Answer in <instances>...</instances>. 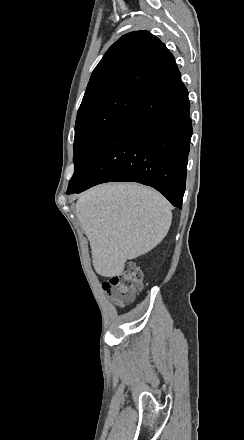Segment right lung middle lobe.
<instances>
[{"mask_svg": "<svg viewBox=\"0 0 244 440\" xmlns=\"http://www.w3.org/2000/svg\"><path fill=\"white\" fill-rule=\"evenodd\" d=\"M140 97L119 94L104 101L81 104L75 124L74 174L68 186L83 174L93 156Z\"/></svg>", "mask_w": 244, "mask_h": 440, "instance_id": "1", "label": "right lung middle lobe"}]
</instances>
